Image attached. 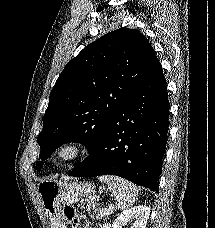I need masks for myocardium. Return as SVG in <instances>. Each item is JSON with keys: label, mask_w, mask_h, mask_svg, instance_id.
I'll return each instance as SVG.
<instances>
[{"label": "myocardium", "mask_w": 215, "mask_h": 228, "mask_svg": "<svg viewBox=\"0 0 215 228\" xmlns=\"http://www.w3.org/2000/svg\"><path fill=\"white\" fill-rule=\"evenodd\" d=\"M85 152L83 142L72 139L58 144L51 155L52 160L58 164L70 163L77 160Z\"/></svg>", "instance_id": "1"}]
</instances>
